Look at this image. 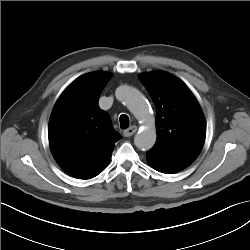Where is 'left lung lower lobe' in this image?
I'll list each match as a JSON object with an SVG mask.
<instances>
[{
	"mask_svg": "<svg viewBox=\"0 0 250 250\" xmlns=\"http://www.w3.org/2000/svg\"><path fill=\"white\" fill-rule=\"evenodd\" d=\"M148 164L155 170L172 174L189 166L195 159L190 157L168 156L155 153L151 150L146 152Z\"/></svg>",
	"mask_w": 250,
	"mask_h": 250,
	"instance_id": "1",
	"label": "left lung lower lobe"
}]
</instances>
